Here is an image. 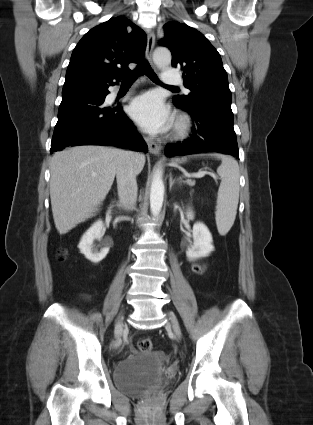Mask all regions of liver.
Masks as SVG:
<instances>
[{
  "label": "liver",
  "instance_id": "liver-1",
  "mask_svg": "<svg viewBox=\"0 0 313 425\" xmlns=\"http://www.w3.org/2000/svg\"><path fill=\"white\" fill-rule=\"evenodd\" d=\"M126 151L103 146H77L56 152L50 163V198L55 227L66 234L92 217L113 184L120 156ZM139 174L145 156L135 153Z\"/></svg>",
  "mask_w": 313,
  "mask_h": 425
}]
</instances>
